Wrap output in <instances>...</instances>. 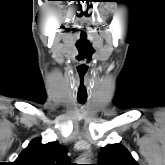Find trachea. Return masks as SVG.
Here are the masks:
<instances>
[{"instance_id": "1", "label": "trachea", "mask_w": 165, "mask_h": 165, "mask_svg": "<svg viewBox=\"0 0 165 165\" xmlns=\"http://www.w3.org/2000/svg\"><path fill=\"white\" fill-rule=\"evenodd\" d=\"M79 103L84 104L86 102V98H78Z\"/></svg>"}]
</instances>
